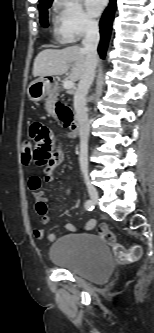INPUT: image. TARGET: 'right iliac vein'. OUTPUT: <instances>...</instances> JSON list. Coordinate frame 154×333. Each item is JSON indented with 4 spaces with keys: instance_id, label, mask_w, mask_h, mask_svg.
<instances>
[{
    "instance_id": "63e3f726",
    "label": "right iliac vein",
    "mask_w": 154,
    "mask_h": 333,
    "mask_svg": "<svg viewBox=\"0 0 154 333\" xmlns=\"http://www.w3.org/2000/svg\"><path fill=\"white\" fill-rule=\"evenodd\" d=\"M85 183L87 186L88 194H89L92 202L96 204L99 199V194H98L97 189L90 183V181L88 179L85 180Z\"/></svg>"
}]
</instances>
